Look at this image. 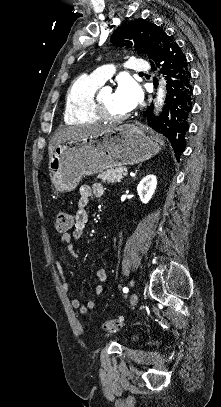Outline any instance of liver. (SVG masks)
<instances>
[{
  "instance_id": "obj_1",
  "label": "liver",
  "mask_w": 221,
  "mask_h": 407,
  "mask_svg": "<svg viewBox=\"0 0 221 407\" xmlns=\"http://www.w3.org/2000/svg\"><path fill=\"white\" fill-rule=\"evenodd\" d=\"M114 128V126L108 125H77L69 126L56 131L48 146L49 157L53 153L54 149L61 143L71 140L79 139L83 137H89L97 135L101 132L108 131Z\"/></svg>"
}]
</instances>
